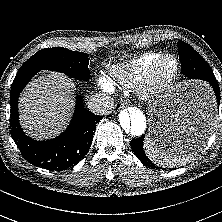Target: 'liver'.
Segmentation results:
<instances>
[{"label":"liver","mask_w":222,"mask_h":222,"mask_svg":"<svg viewBox=\"0 0 222 222\" xmlns=\"http://www.w3.org/2000/svg\"><path fill=\"white\" fill-rule=\"evenodd\" d=\"M73 105V86L66 75L50 72L39 76L19 99L21 125L33 138H50L63 130Z\"/></svg>","instance_id":"1"}]
</instances>
